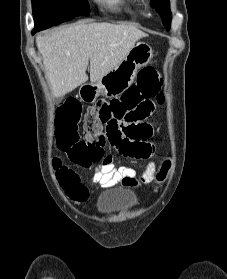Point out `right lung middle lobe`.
Wrapping results in <instances>:
<instances>
[{"mask_svg": "<svg viewBox=\"0 0 227 279\" xmlns=\"http://www.w3.org/2000/svg\"><path fill=\"white\" fill-rule=\"evenodd\" d=\"M35 29L43 30L71 20L76 16H88L86 0H32Z\"/></svg>", "mask_w": 227, "mask_h": 279, "instance_id": "dd1d6c3e", "label": "right lung middle lobe"}]
</instances>
